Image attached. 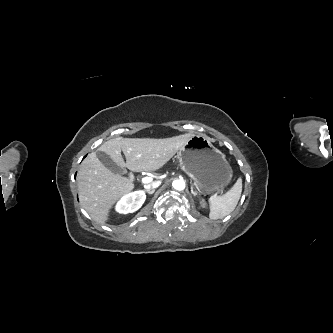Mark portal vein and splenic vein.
<instances>
[{
    "mask_svg": "<svg viewBox=\"0 0 333 333\" xmlns=\"http://www.w3.org/2000/svg\"><path fill=\"white\" fill-rule=\"evenodd\" d=\"M151 181H152V177H148V176L143 177L142 180H141V182L144 183V184H148Z\"/></svg>",
    "mask_w": 333,
    "mask_h": 333,
    "instance_id": "18ae733b",
    "label": "portal vein and splenic vein"
}]
</instances>
